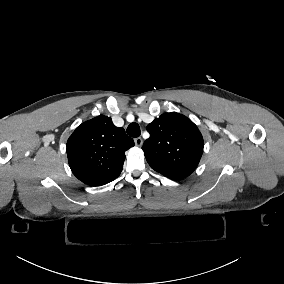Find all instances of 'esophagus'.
<instances>
[{
	"instance_id": "obj_1",
	"label": "esophagus",
	"mask_w": 284,
	"mask_h": 284,
	"mask_svg": "<svg viewBox=\"0 0 284 284\" xmlns=\"http://www.w3.org/2000/svg\"><path fill=\"white\" fill-rule=\"evenodd\" d=\"M134 142L137 147H141L143 144V140L140 137L135 138Z\"/></svg>"
}]
</instances>
